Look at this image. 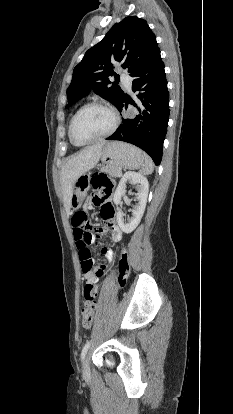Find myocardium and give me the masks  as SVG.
Listing matches in <instances>:
<instances>
[{"instance_id":"f54148a6","label":"myocardium","mask_w":233,"mask_h":414,"mask_svg":"<svg viewBox=\"0 0 233 414\" xmlns=\"http://www.w3.org/2000/svg\"><path fill=\"white\" fill-rule=\"evenodd\" d=\"M90 108H100L103 109L105 111H107L111 117H112V124L111 127L109 128L108 131H106L105 133L93 138V139H89L86 141H77L74 137L73 134V129H74V124L77 120V118L79 117V115L81 113H83L85 110L90 109ZM120 124V116L118 114V112L110 105L104 104V103H100V102H90L85 104L84 106H82L72 117L70 125H69V138L70 141L77 146H82V145H87V144H91V143H95L98 141H101L103 139H106L108 137H110L112 134H114V132L117 130L118 126Z\"/></svg>"}]
</instances>
